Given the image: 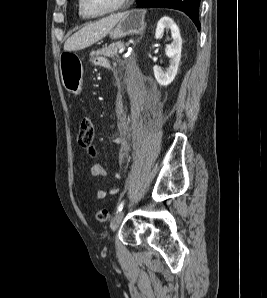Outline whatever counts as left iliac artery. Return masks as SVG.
<instances>
[{
    "instance_id": "1",
    "label": "left iliac artery",
    "mask_w": 267,
    "mask_h": 298,
    "mask_svg": "<svg viewBox=\"0 0 267 298\" xmlns=\"http://www.w3.org/2000/svg\"><path fill=\"white\" fill-rule=\"evenodd\" d=\"M124 203H125V201L123 200V201L118 205L116 213L122 211V209H123V207H124Z\"/></svg>"
}]
</instances>
